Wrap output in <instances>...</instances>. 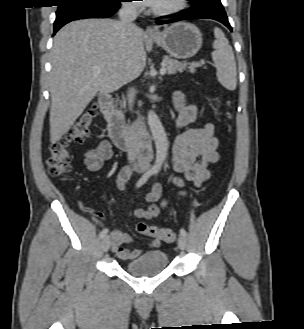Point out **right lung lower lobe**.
<instances>
[{
    "mask_svg": "<svg viewBox=\"0 0 304 329\" xmlns=\"http://www.w3.org/2000/svg\"><path fill=\"white\" fill-rule=\"evenodd\" d=\"M120 7V0L112 4H76L60 8L56 12L54 34L68 22L85 18H107Z\"/></svg>",
    "mask_w": 304,
    "mask_h": 329,
    "instance_id": "98d812e1",
    "label": "right lung lower lobe"
}]
</instances>
